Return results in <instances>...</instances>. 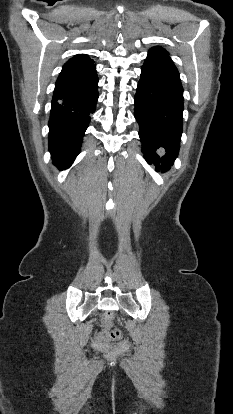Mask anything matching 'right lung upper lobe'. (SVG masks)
<instances>
[{"instance_id":"right-lung-upper-lobe-1","label":"right lung upper lobe","mask_w":233,"mask_h":414,"mask_svg":"<svg viewBox=\"0 0 233 414\" xmlns=\"http://www.w3.org/2000/svg\"><path fill=\"white\" fill-rule=\"evenodd\" d=\"M94 61L88 56L80 54L69 59L63 66L62 72H82L94 67Z\"/></svg>"}]
</instances>
